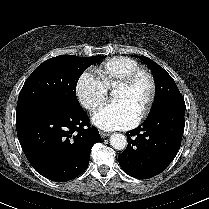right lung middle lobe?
<instances>
[{
    "label": "right lung middle lobe",
    "instance_id": "1",
    "mask_svg": "<svg viewBox=\"0 0 209 209\" xmlns=\"http://www.w3.org/2000/svg\"><path fill=\"white\" fill-rule=\"evenodd\" d=\"M104 58L60 55L46 60L25 81L18 97L16 115L48 102L79 106L76 85L80 76L89 66Z\"/></svg>",
    "mask_w": 209,
    "mask_h": 209
}]
</instances>
